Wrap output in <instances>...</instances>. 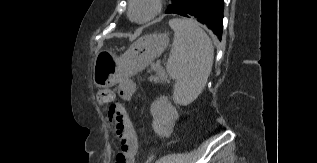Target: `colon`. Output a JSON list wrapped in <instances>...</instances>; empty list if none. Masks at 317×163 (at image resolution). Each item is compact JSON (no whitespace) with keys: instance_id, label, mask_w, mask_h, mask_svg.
<instances>
[{"instance_id":"1","label":"colon","mask_w":317,"mask_h":163,"mask_svg":"<svg viewBox=\"0 0 317 163\" xmlns=\"http://www.w3.org/2000/svg\"><path fill=\"white\" fill-rule=\"evenodd\" d=\"M96 98L100 104L111 103L113 99V92L110 89L100 90L98 91ZM109 117L115 131L117 133H122L126 125V116L122 104L111 103L109 107Z\"/></svg>"}]
</instances>
